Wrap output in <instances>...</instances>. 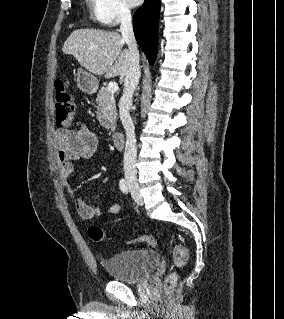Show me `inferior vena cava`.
<instances>
[{
    "instance_id": "obj_1",
    "label": "inferior vena cava",
    "mask_w": 284,
    "mask_h": 319,
    "mask_svg": "<svg viewBox=\"0 0 284 319\" xmlns=\"http://www.w3.org/2000/svg\"><path fill=\"white\" fill-rule=\"evenodd\" d=\"M120 31L123 40L128 45L130 55V67L125 74L123 95L119 101V115L126 132V146L124 152V169L135 172V162L137 156L136 138L134 124L131 119L129 109L132 105L133 93L139 83L141 76L139 65V52L135 40L132 17L130 10L124 8L120 11Z\"/></svg>"
}]
</instances>
